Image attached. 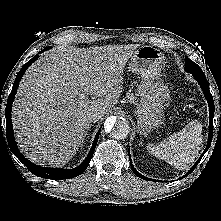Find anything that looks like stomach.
Listing matches in <instances>:
<instances>
[{"mask_svg":"<svg viewBox=\"0 0 221 221\" xmlns=\"http://www.w3.org/2000/svg\"><path fill=\"white\" fill-rule=\"evenodd\" d=\"M165 64L164 54L157 48L144 45L133 54L129 67L141 76L138 85L140 102L136 107L137 130L146 134L164 122V103L169 99L168 86L160 81Z\"/></svg>","mask_w":221,"mask_h":221,"instance_id":"1","label":"stomach"}]
</instances>
